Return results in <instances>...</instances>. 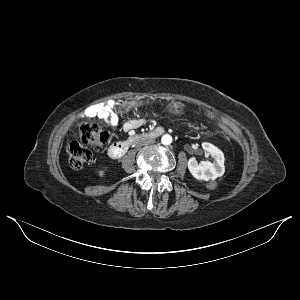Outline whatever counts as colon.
I'll return each mask as SVG.
<instances>
[{
    "mask_svg": "<svg viewBox=\"0 0 300 300\" xmlns=\"http://www.w3.org/2000/svg\"><path fill=\"white\" fill-rule=\"evenodd\" d=\"M110 134L103 130L96 122L90 121L82 124L80 128V141L72 140L68 145L70 166L74 169L83 167L92 159L89 146L101 148L107 144Z\"/></svg>",
    "mask_w": 300,
    "mask_h": 300,
    "instance_id": "1",
    "label": "colon"
}]
</instances>
